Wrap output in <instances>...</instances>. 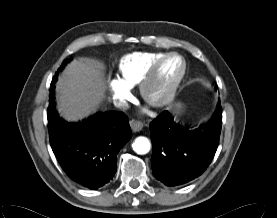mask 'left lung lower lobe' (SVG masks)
<instances>
[{"instance_id":"obj_1","label":"left lung lower lobe","mask_w":277,"mask_h":218,"mask_svg":"<svg viewBox=\"0 0 277 218\" xmlns=\"http://www.w3.org/2000/svg\"><path fill=\"white\" fill-rule=\"evenodd\" d=\"M221 124L220 100L212 117L194 129L182 128L168 111L162 112L150 123L153 175L167 186L200 176L215 155Z\"/></svg>"}]
</instances>
